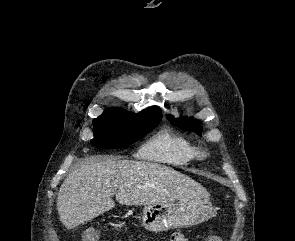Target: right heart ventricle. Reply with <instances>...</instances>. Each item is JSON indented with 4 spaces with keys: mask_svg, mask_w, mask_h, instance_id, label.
<instances>
[{
    "mask_svg": "<svg viewBox=\"0 0 295 241\" xmlns=\"http://www.w3.org/2000/svg\"><path fill=\"white\" fill-rule=\"evenodd\" d=\"M138 155L145 160L178 167L195 160L198 150L189 140L162 131L150 138Z\"/></svg>",
    "mask_w": 295,
    "mask_h": 241,
    "instance_id": "e07e8e85",
    "label": "right heart ventricle"
}]
</instances>
